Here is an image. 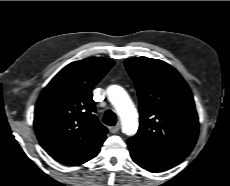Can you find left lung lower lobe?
I'll return each instance as SVG.
<instances>
[{
  "mask_svg": "<svg viewBox=\"0 0 230 186\" xmlns=\"http://www.w3.org/2000/svg\"><path fill=\"white\" fill-rule=\"evenodd\" d=\"M132 160L150 172H161L179 164L184 158L171 153L155 151L139 143L128 140Z\"/></svg>",
  "mask_w": 230,
  "mask_h": 186,
  "instance_id": "1",
  "label": "left lung lower lobe"
}]
</instances>
